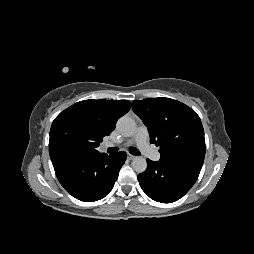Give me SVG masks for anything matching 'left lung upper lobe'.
I'll list each match as a JSON object with an SVG mask.
<instances>
[{
  "instance_id": "obj_1",
  "label": "left lung upper lobe",
  "mask_w": 254,
  "mask_h": 254,
  "mask_svg": "<svg viewBox=\"0 0 254 254\" xmlns=\"http://www.w3.org/2000/svg\"><path fill=\"white\" fill-rule=\"evenodd\" d=\"M132 110L147 126L150 142L160 147L161 163L201 170L206 149L204 129L193 109L160 97L133 101Z\"/></svg>"
}]
</instances>
